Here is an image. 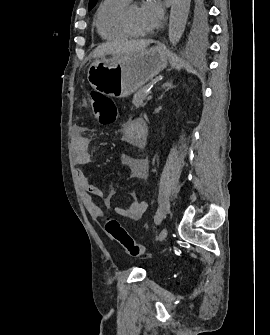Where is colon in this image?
<instances>
[{
  "label": "colon",
  "instance_id": "5ec220e1",
  "mask_svg": "<svg viewBox=\"0 0 270 335\" xmlns=\"http://www.w3.org/2000/svg\"><path fill=\"white\" fill-rule=\"evenodd\" d=\"M90 99L92 101L93 112L97 119H99L101 125L110 126L113 124L117 118V110L113 99L98 91H92L90 93ZM105 228L109 236L118 243L127 254L132 257L143 255V246L133 240L127 229L116 217L109 216L106 218Z\"/></svg>",
  "mask_w": 270,
  "mask_h": 335
}]
</instances>
